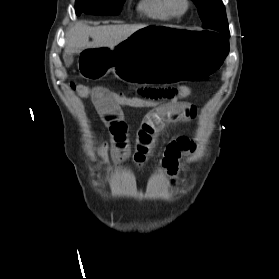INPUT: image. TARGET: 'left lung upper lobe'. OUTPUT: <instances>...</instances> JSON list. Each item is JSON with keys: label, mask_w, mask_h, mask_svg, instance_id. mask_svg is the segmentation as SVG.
<instances>
[{"label": "left lung upper lobe", "mask_w": 279, "mask_h": 279, "mask_svg": "<svg viewBox=\"0 0 279 279\" xmlns=\"http://www.w3.org/2000/svg\"><path fill=\"white\" fill-rule=\"evenodd\" d=\"M198 7L203 28L229 35L225 7L222 0H192Z\"/></svg>", "instance_id": "5c2ea615"}]
</instances>
